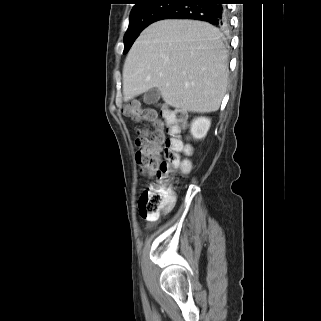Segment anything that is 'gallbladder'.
I'll use <instances>...</instances> for the list:
<instances>
[{
    "mask_svg": "<svg viewBox=\"0 0 321 321\" xmlns=\"http://www.w3.org/2000/svg\"><path fill=\"white\" fill-rule=\"evenodd\" d=\"M143 99L147 105L155 104L160 99V91L157 88H152L144 94Z\"/></svg>",
    "mask_w": 321,
    "mask_h": 321,
    "instance_id": "bac80fb5",
    "label": "gallbladder"
}]
</instances>
